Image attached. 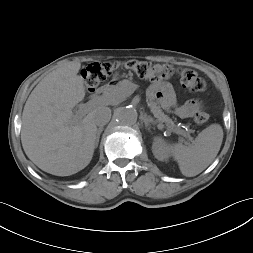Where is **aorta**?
Wrapping results in <instances>:
<instances>
[{
  "instance_id": "obj_1",
  "label": "aorta",
  "mask_w": 253,
  "mask_h": 253,
  "mask_svg": "<svg viewBox=\"0 0 253 253\" xmlns=\"http://www.w3.org/2000/svg\"><path fill=\"white\" fill-rule=\"evenodd\" d=\"M138 113L133 107H122L116 113V120L122 125H133L136 123Z\"/></svg>"
}]
</instances>
